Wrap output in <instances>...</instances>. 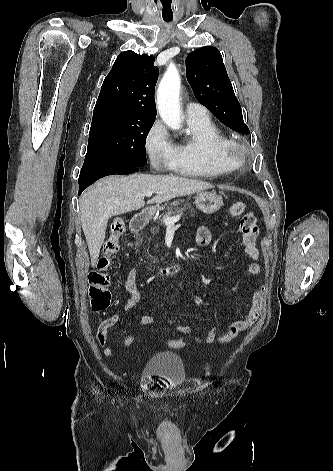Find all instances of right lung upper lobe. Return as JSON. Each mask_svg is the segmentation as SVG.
<instances>
[{
	"instance_id": "obj_1",
	"label": "right lung upper lobe",
	"mask_w": 333,
	"mask_h": 471,
	"mask_svg": "<svg viewBox=\"0 0 333 471\" xmlns=\"http://www.w3.org/2000/svg\"><path fill=\"white\" fill-rule=\"evenodd\" d=\"M155 58L133 51L119 54L104 79L93 117L125 115L142 119H155L154 88L159 69Z\"/></svg>"
}]
</instances>
